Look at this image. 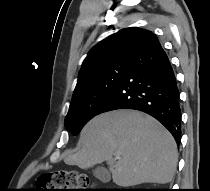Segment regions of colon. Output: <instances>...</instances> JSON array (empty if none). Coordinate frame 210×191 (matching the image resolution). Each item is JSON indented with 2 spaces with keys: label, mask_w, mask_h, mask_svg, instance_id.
Returning a JSON list of instances; mask_svg holds the SVG:
<instances>
[{
  "label": "colon",
  "mask_w": 210,
  "mask_h": 191,
  "mask_svg": "<svg viewBox=\"0 0 210 191\" xmlns=\"http://www.w3.org/2000/svg\"><path fill=\"white\" fill-rule=\"evenodd\" d=\"M42 191H104L95 189L90 178L77 170H58L42 175L37 182Z\"/></svg>",
  "instance_id": "5ec220e1"
}]
</instances>
